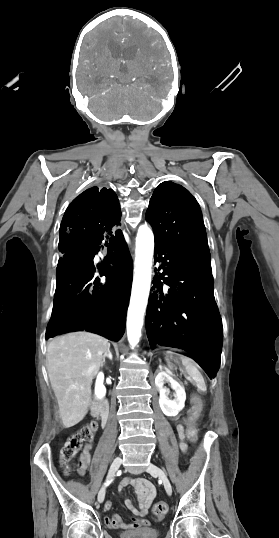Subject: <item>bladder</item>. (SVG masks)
Returning <instances> with one entry per match:
<instances>
[{"label":"bladder","instance_id":"obj_1","mask_svg":"<svg viewBox=\"0 0 279 538\" xmlns=\"http://www.w3.org/2000/svg\"><path fill=\"white\" fill-rule=\"evenodd\" d=\"M121 538H158L156 532H122Z\"/></svg>","mask_w":279,"mask_h":538}]
</instances>
